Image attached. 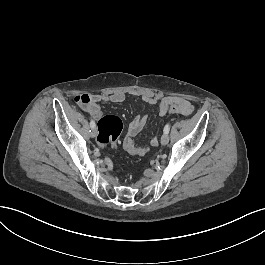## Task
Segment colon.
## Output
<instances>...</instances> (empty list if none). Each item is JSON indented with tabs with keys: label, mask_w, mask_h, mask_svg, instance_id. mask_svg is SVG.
Returning a JSON list of instances; mask_svg holds the SVG:
<instances>
[{
	"label": "colon",
	"mask_w": 265,
	"mask_h": 265,
	"mask_svg": "<svg viewBox=\"0 0 265 265\" xmlns=\"http://www.w3.org/2000/svg\"><path fill=\"white\" fill-rule=\"evenodd\" d=\"M89 101V97L82 94L79 96H73L70 102L73 107L77 108L80 106H87ZM167 108L168 110L170 109L173 114H176L177 112L182 113L185 111L177 105V102L174 103V101H167ZM122 130L123 122L118 116L112 114L103 115L97 124L96 141L98 145L100 147H106L109 144L116 143L121 135Z\"/></svg>",
	"instance_id": "colon-1"
}]
</instances>
